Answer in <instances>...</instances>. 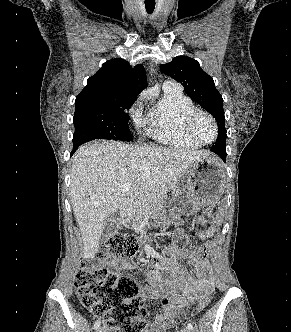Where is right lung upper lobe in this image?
<instances>
[{"mask_svg": "<svg viewBox=\"0 0 291 332\" xmlns=\"http://www.w3.org/2000/svg\"><path fill=\"white\" fill-rule=\"evenodd\" d=\"M147 86L142 65L134 67L121 58L105 62L102 68L87 81L76 100L91 97H128L135 100Z\"/></svg>", "mask_w": 291, "mask_h": 332, "instance_id": "obj_1", "label": "right lung upper lobe"}]
</instances>
